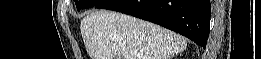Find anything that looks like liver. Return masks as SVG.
I'll use <instances>...</instances> for the list:
<instances>
[{
    "mask_svg": "<svg viewBox=\"0 0 261 59\" xmlns=\"http://www.w3.org/2000/svg\"><path fill=\"white\" fill-rule=\"evenodd\" d=\"M80 30L90 59H172L187 46L179 34L109 10L88 14Z\"/></svg>",
    "mask_w": 261,
    "mask_h": 59,
    "instance_id": "liver-1",
    "label": "liver"
}]
</instances>
